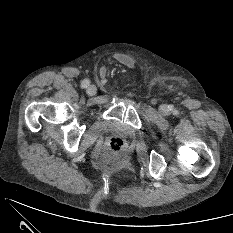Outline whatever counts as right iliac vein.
I'll use <instances>...</instances> for the list:
<instances>
[{"label":"right iliac vein","instance_id":"obj_1","mask_svg":"<svg viewBox=\"0 0 233 233\" xmlns=\"http://www.w3.org/2000/svg\"><path fill=\"white\" fill-rule=\"evenodd\" d=\"M86 92H87L88 95L93 96V95L96 94L97 88H96L95 85H89V86L87 87V89H86Z\"/></svg>","mask_w":233,"mask_h":233}]
</instances>
